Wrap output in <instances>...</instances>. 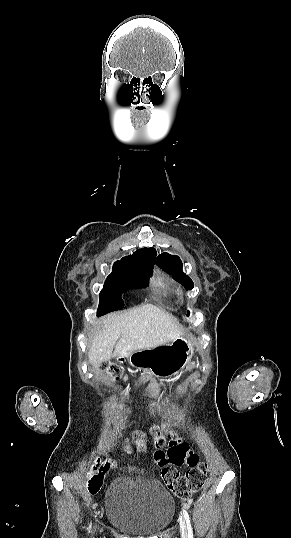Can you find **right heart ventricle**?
Segmentation results:
<instances>
[{
  "label": "right heart ventricle",
  "mask_w": 291,
  "mask_h": 538,
  "mask_svg": "<svg viewBox=\"0 0 291 538\" xmlns=\"http://www.w3.org/2000/svg\"><path fill=\"white\" fill-rule=\"evenodd\" d=\"M155 286L156 288L158 289V291L163 294L164 296L168 295L171 291V287H170V284L168 283V281L162 277V276H159L156 281H155Z\"/></svg>",
  "instance_id": "e07e8e85"
}]
</instances>
